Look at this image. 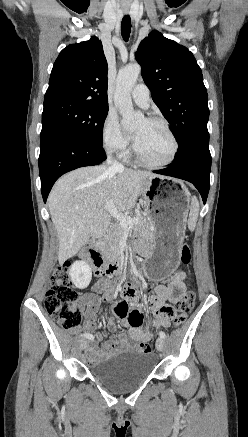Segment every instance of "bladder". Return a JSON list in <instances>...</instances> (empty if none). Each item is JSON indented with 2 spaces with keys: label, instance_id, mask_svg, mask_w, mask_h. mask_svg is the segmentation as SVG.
I'll return each mask as SVG.
<instances>
[{
  "label": "bladder",
  "instance_id": "31cf9c89",
  "mask_svg": "<svg viewBox=\"0 0 248 437\" xmlns=\"http://www.w3.org/2000/svg\"><path fill=\"white\" fill-rule=\"evenodd\" d=\"M155 367L149 353L126 351L91 366V375L108 389L122 393L144 381Z\"/></svg>",
  "mask_w": 248,
  "mask_h": 437
}]
</instances>
